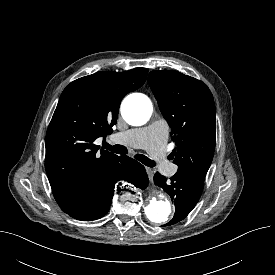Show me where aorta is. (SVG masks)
I'll return each instance as SVG.
<instances>
[{
  "mask_svg": "<svg viewBox=\"0 0 275 275\" xmlns=\"http://www.w3.org/2000/svg\"><path fill=\"white\" fill-rule=\"evenodd\" d=\"M152 113L153 104L151 100L140 93L128 96L121 105L122 117L133 126L145 124ZM145 214L153 223H165L172 214L171 203L162 193L158 192L145 207Z\"/></svg>",
  "mask_w": 275,
  "mask_h": 275,
  "instance_id": "1",
  "label": "aorta"
}]
</instances>
